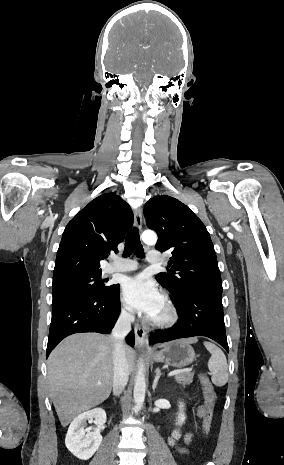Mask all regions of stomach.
Instances as JSON below:
<instances>
[{
    "label": "stomach",
    "instance_id": "obj_1",
    "mask_svg": "<svg viewBox=\"0 0 284 465\" xmlns=\"http://www.w3.org/2000/svg\"><path fill=\"white\" fill-rule=\"evenodd\" d=\"M151 359L155 363H166L172 367H188L195 359V351L184 341H171L164 345L162 351L153 353Z\"/></svg>",
    "mask_w": 284,
    "mask_h": 465
}]
</instances>
